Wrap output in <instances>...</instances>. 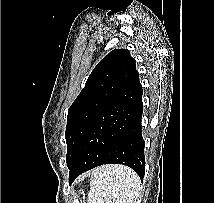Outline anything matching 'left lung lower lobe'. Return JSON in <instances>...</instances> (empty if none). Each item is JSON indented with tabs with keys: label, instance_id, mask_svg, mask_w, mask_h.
I'll use <instances>...</instances> for the list:
<instances>
[{
	"label": "left lung lower lobe",
	"instance_id": "obj_1",
	"mask_svg": "<svg viewBox=\"0 0 214 203\" xmlns=\"http://www.w3.org/2000/svg\"><path fill=\"white\" fill-rule=\"evenodd\" d=\"M142 93L139 73L136 71L87 130L68 166L70 184L83 172L111 163L131 167L143 181L145 156L141 134Z\"/></svg>",
	"mask_w": 214,
	"mask_h": 203
}]
</instances>
